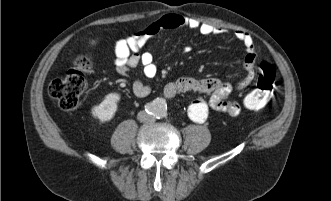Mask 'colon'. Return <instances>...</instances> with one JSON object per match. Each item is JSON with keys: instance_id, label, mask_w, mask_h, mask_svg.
Segmentation results:
<instances>
[{"instance_id": "colon-1", "label": "colon", "mask_w": 331, "mask_h": 201, "mask_svg": "<svg viewBox=\"0 0 331 201\" xmlns=\"http://www.w3.org/2000/svg\"><path fill=\"white\" fill-rule=\"evenodd\" d=\"M89 56L78 57L65 76L53 80L48 92L63 110H73L79 103L86 87V74L91 70ZM275 65L267 60L259 63V75L255 89L243 99V105L249 110H258L266 106L272 98L276 85Z\"/></svg>"}]
</instances>
